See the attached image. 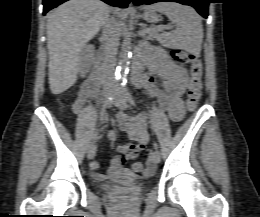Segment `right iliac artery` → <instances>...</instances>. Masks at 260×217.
Wrapping results in <instances>:
<instances>
[{"label":"right iliac artery","mask_w":260,"mask_h":217,"mask_svg":"<svg viewBox=\"0 0 260 217\" xmlns=\"http://www.w3.org/2000/svg\"><path fill=\"white\" fill-rule=\"evenodd\" d=\"M112 100H113V97L110 96L108 99H106V100L104 101V105H103V108H102V111H101L100 124L103 123V119H104L103 116H104V114H105L106 109L111 106ZM97 138H98V130H97V131L95 132V134L93 135V137H92V142H93V143L96 142Z\"/></svg>","instance_id":"obj_1"}]
</instances>
